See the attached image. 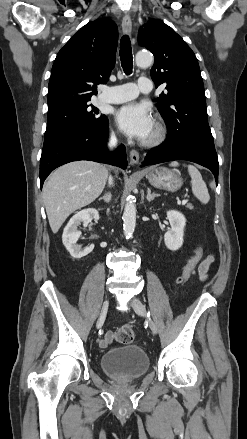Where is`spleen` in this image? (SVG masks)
<instances>
[{
	"mask_svg": "<svg viewBox=\"0 0 247 439\" xmlns=\"http://www.w3.org/2000/svg\"><path fill=\"white\" fill-rule=\"evenodd\" d=\"M170 166L177 167L179 163L174 161L170 163ZM188 172L191 176V186L194 196L203 204H207L210 200L207 186L202 179L201 173L193 165H187Z\"/></svg>",
	"mask_w": 247,
	"mask_h": 439,
	"instance_id": "spleen-1",
	"label": "spleen"
}]
</instances>
